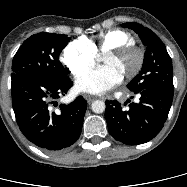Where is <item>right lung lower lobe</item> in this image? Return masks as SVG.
<instances>
[{"label": "right lung lower lobe", "instance_id": "98d812e1", "mask_svg": "<svg viewBox=\"0 0 187 187\" xmlns=\"http://www.w3.org/2000/svg\"><path fill=\"white\" fill-rule=\"evenodd\" d=\"M72 86L73 82L67 77H22L11 83L17 124L29 141L44 150L67 148L81 134L87 109V102L82 96L68 105L60 104L56 112L51 111L49 105Z\"/></svg>", "mask_w": 187, "mask_h": 187}]
</instances>
